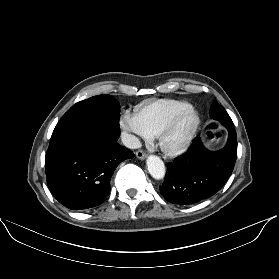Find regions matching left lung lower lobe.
Returning a JSON list of instances; mask_svg holds the SVG:
<instances>
[{
	"label": "left lung lower lobe",
	"mask_w": 279,
	"mask_h": 279,
	"mask_svg": "<svg viewBox=\"0 0 279 279\" xmlns=\"http://www.w3.org/2000/svg\"><path fill=\"white\" fill-rule=\"evenodd\" d=\"M229 132L226 146L209 151L195 138L189 150L168 166L160 187L163 197L174 204L188 205L218 192L231 176L237 157V136L233 123L224 125Z\"/></svg>",
	"instance_id": "1"
}]
</instances>
